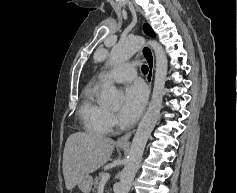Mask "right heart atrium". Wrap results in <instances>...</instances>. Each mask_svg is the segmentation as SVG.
<instances>
[{"label":"right heart atrium","mask_w":237,"mask_h":193,"mask_svg":"<svg viewBox=\"0 0 237 193\" xmlns=\"http://www.w3.org/2000/svg\"><path fill=\"white\" fill-rule=\"evenodd\" d=\"M111 123L114 124L116 122V119L113 115H110Z\"/></svg>","instance_id":"d8ad5b80"}]
</instances>
